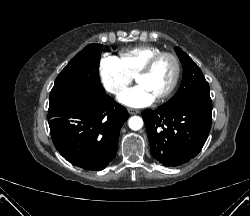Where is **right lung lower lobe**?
Instances as JSON below:
<instances>
[{
    "mask_svg": "<svg viewBox=\"0 0 250 216\" xmlns=\"http://www.w3.org/2000/svg\"><path fill=\"white\" fill-rule=\"evenodd\" d=\"M127 110L105 93L76 91L49 105L56 149L73 165L102 170L115 157Z\"/></svg>",
    "mask_w": 250,
    "mask_h": 216,
    "instance_id": "98d812e1",
    "label": "right lung lower lobe"
}]
</instances>
